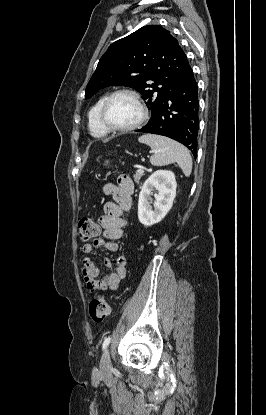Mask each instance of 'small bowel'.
<instances>
[{
	"label": "small bowel",
	"instance_id": "1",
	"mask_svg": "<svg viewBox=\"0 0 266 415\" xmlns=\"http://www.w3.org/2000/svg\"><path fill=\"white\" fill-rule=\"evenodd\" d=\"M104 194L110 195L113 201H108L104 205V214L99 218V222L104 230V238H97L91 243L83 245V252L92 253L95 249H107L117 251L119 246L117 240L124 235L127 221L124 219V213L132 207V195L134 184L130 177L120 175L117 183H107L102 188ZM104 265L108 268V273L98 279L99 269L89 258L83 260V278L89 291L116 290L120 281L126 275V266L128 258L125 254L118 255L116 265L112 268V262L109 258L104 259Z\"/></svg>",
	"mask_w": 266,
	"mask_h": 415
}]
</instances>
